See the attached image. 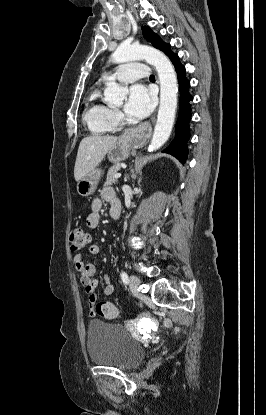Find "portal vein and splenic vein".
I'll return each instance as SVG.
<instances>
[{
    "label": "portal vein and splenic vein",
    "mask_w": 266,
    "mask_h": 415,
    "mask_svg": "<svg viewBox=\"0 0 266 415\" xmlns=\"http://www.w3.org/2000/svg\"><path fill=\"white\" fill-rule=\"evenodd\" d=\"M114 177H115L116 179L120 178V177H121V173H117Z\"/></svg>",
    "instance_id": "obj_1"
}]
</instances>
